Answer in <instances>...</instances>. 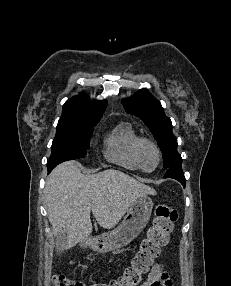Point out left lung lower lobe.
Wrapping results in <instances>:
<instances>
[{"instance_id": "1", "label": "left lung lower lobe", "mask_w": 231, "mask_h": 286, "mask_svg": "<svg viewBox=\"0 0 231 286\" xmlns=\"http://www.w3.org/2000/svg\"><path fill=\"white\" fill-rule=\"evenodd\" d=\"M181 164L182 162L178 164H174L173 166L168 168L165 174V178H174L178 180L179 182H181V184L185 187L186 180L184 177V173L182 171Z\"/></svg>"}]
</instances>
